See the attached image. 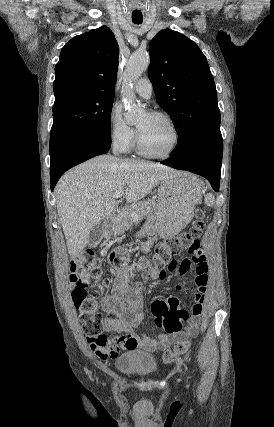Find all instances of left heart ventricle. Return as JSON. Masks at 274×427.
Returning <instances> with one entry per match:
<instances>
[{"instance_id": "obj_1", "label": "left heart ventricle", "mask_w": 274, "mask_h": 427, "mask_svg": "<svg viewBox=\"0 0 274 427\" xmlns=\"http://www.w3.org/2000/svg\"><path fill=\"white\" fill-rule=\"evenodd\" d=\"M136 129L143 149L150 154H165L173 144V131L164 119L144 113L139 117Z\"/></svg>"}]
</instances>
